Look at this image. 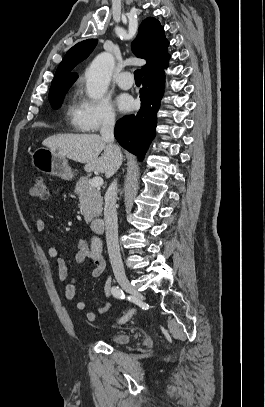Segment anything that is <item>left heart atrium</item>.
Masks as SVG:
<instances>
[{
    "mask_svg": "<svg viewBox=\"0 0 265 407\" xmlns=\"http://www.w3.org/2000/svg\"><path fill=\"white\" fill-rule=\"evenodd\" d=\"M116 104L122 112H128L134 107L133 99L126 94L119 95L116 99Z\"/></svg>",
    "mask_w": 265,
    "mask_h": 407,
    "instance_id": "39dd6f15",
    "label": "left heart atrium"
}]
</instances>
